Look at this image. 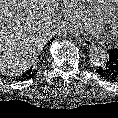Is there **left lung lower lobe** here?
<instances>
[{"label": "left lung lower lobe", "instance_id": "0a47b994", "mask_svg": "<svg viewBox=\"0 0 118 118\" xmlns=\"http://www.w3.org/2000/svg\"><path fill=\"white\" fill-rule=\"evenodd\" d=\"M108 58L97 69L100 77L106 81L118 83V48L107 50Z\"/></svg>", "mask_w": 118, "mask_h": 118}]
</instances>
